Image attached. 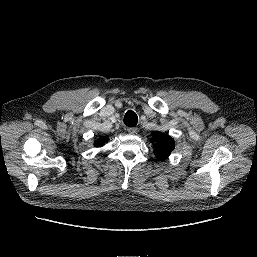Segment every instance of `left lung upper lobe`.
<instances>
[{"instance_id":"5c2ea615","label":"left lung upper lobe","mask_w":257,"mask_h":257,"mask_svg":"<svg viewBox=\"0 0 257 257\" xmlns=\"http://www.w3.org/2000/svg\"><path fill=\"white\" fill-rule=\"evenodd\" d=\"M151 135L155 156L160 160H165L175 147L173 138L159 131H153Z\"/></svg>"}]
</instances>
